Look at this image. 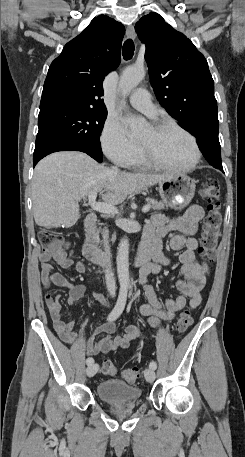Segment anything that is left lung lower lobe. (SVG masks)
Masks as SVG:
<instances>
[{
  "label": "left lung lower lobe",
  "mask_w": 245,
  "mask_h": 457,
  "mask_svg": "<svg viewBox=\"0 0 245 457\" xmlns=\"http://www.w3.org/2000/svg\"><path fill=\"white\" fill-rule=\"evenodd\" d=\"M218 128L219 124H210L209 126L197 129L192 134L196 137L198 146L208 163L223 171Z\"/></svg>",
  "instance_id": "0a47b994"
}]
</instances>
